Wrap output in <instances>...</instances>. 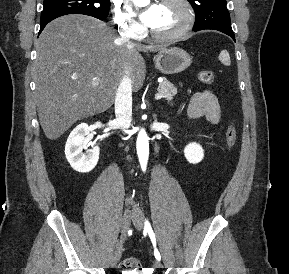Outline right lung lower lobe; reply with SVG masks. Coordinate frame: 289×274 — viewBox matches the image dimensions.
<instances>
[{
	"mask_svg": "<svg viewBox=\"0 0 289 274\" xmlns=\"http://www.w3.org/2000/svg\"><path fill=\"white\" fill-rule=\"evenodd\" d=\"M67 14H74V13L57 14V15H51V16H47V17L41 18L39 34L44 29V27L46 26L47 23H49L50 21L54 20L57 17L63 16V15H67ZM76 14H79V13H76ZM95 18H97V17H95ZM98 19H100V18H98ZM100 20H102V19H100Z\"/></svg>",
	"mask_w": 289,
	"mask_h": 274,
	"instance_id": "obj_1",
	"label": "right lung lower lobe"
}]
</instances>
